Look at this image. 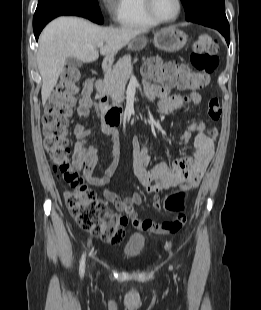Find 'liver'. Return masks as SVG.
Listing matches in <instances>:
<instances>
[{"instance_id": "obj_1", "label": "liver", "mask_w": 261, "mask_h": 310, "mask_svg": "<svg viewBox=\"0 0 261 310\" xmlns=\"http://www.w3.org/2000/svg\"><path fill=\"white\" fill-rule=\"evenodd\" d=\"M145 31L136 28H105L79 17H59L50 22L39 38L37 65L42 77L41 96L45 104L57 84L68 57L85 63L111 56Z\"/></svg>"}]
</instances>
